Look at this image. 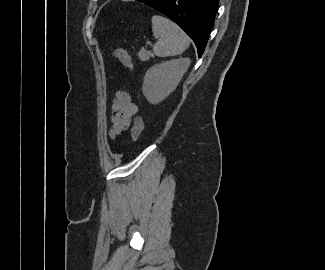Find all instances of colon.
<instances>
[{"label": "colon", "instance_id": "5ec220e1", "mask_svg": "<svg viewBox=\"0 0 325 270\" xmlns=\"http://www.w3.org/2000/svg\"><path fill=\"white\" fill-rule=\"evenodd\" d=\"M115 57L128 69H133V62L130 55L123 48H116L114 51ZM144 128V122L141 116H137L131 130L132 141H137Z\"/></svg>", "mask_w": 325, "mask_h": 270}]
</instances>
